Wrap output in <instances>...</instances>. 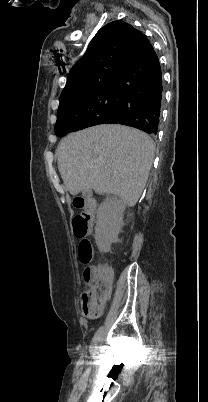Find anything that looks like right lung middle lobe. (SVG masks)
Returning <instances> with one entry per match:
<instances>
[{
    "label": "right lung middle lobe",
    "instance_id": "1",
    "mask_svg": "<svg viewBox=\"0 0 208 402\" xmlns=\"http://www.w3.org/2000/svg\"><path fill=\"white\" fill-rule=\"evenodd\" d=\"M117 87L113 81L100 82L60 97L57 125L63 121L109 113L117 107Z\"/></svg>",
    "mask_w": 208,
    "mask_h": 402
}]
</instances>
